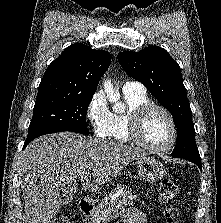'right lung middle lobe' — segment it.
<instances>
[{"label":"right lung middle lobe","mask_w":221,"mask_h":223,"mask_svg":"<svg viewBox=\"0 0 221 223\" xmlns=\"http://www.w3.org/2000/svg\"><path fill=\"white\" fill-rule=\"evenodd\" d=\"M92 96L75 95L36 100L27 140L61 131L89 135L86 114Z\"/></svg>","instance_id":"obj_1"}]
</instances>
